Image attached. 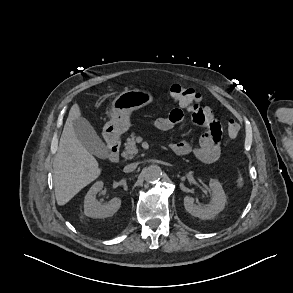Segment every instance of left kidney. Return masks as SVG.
Returning <instances> with one entry per match:
<instances>
[{"mask_svg": "<svg viewBox=\"0 0 293 293\" xmlns=\"http://www.w3.org/2000/svg\"><path fill=\"white\" fill-rule=\"evenodd\" d=\"M209 187L212 190V201L208 205H196L194 198L190 196L184 197L185 210L192 216L201 219H211L225 208L227 199L221 183L216 179H211L209 181Z\"/></svg>", "mask_w": 293, "mask_h": 293, "instance_id": "1", "label": "left kidney"}]
</instances>
